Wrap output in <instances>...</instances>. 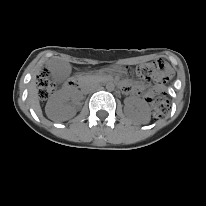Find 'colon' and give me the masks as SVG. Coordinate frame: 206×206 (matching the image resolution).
I'll return each mask as SVG.
<instances>
[{"label": "colon", "mask_w": 206, "mask_h": 206, "mask_svg": "<svg viewBox=\"0 0 206 206\" xmlns=\"http://www.w3.org/2000/svg\"><path fill=\"white\" fill-rule=\"evenodd\" d=\"M166 65L162 60L140 65L136 68V74L143 79H151L157 75H161L165 72ZM168 79V77H166ZM54 89V84L50 80L49 73L46 69H43L38 77V90L41 100H46L51 95ZM169 108V103L164 98H158L152 102V111L155 118L163 117Z\"/></svg>", "instance_id": "obj_1"}]
</instances>
